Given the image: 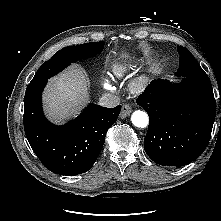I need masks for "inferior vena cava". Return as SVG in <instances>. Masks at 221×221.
I'll list each match as a JSON object with an SVG mask.
<instances>
[{"label":"inferior vena cava","mask_w":221,"mask_h":221,"mask_svg":"<svg viewBox=\"0 0 221 221\" xmlns=\"http://www.w3.org/2000/svg\"><path fill=\"white\" fill-rule=\"evenodd\" d=\"M120 98L116 95L105 93L99 100V104L103 107L113 108L119 105Z\"/></svg>","instance_id":"1"}]
</instances>
